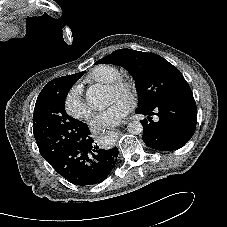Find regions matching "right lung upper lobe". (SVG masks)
I'll use <instances>...</instances> for the list:
<instances>
[{"label": "right lung upper lobe", "instance_id": "cb5924a9", "mask_svg": "<svg viewBox=\"0 0 227 227\" xmlns=\"http://www.w3.org/2000/svg\"><path fill=\"white\" fill-rule=\"evenodd\" d=\"M82 73H83V72H80V73L73 74V75H70V76L74 77V76H78V75H80V74H82ZM60 78H61V77H60ZM57 79H59V78H56V79H54V80H52V81H50V82H53V81H55V80H57ZM47 90H48V83L44 86V88H43L42 91L40 92V94H39L37 100H38V99H41V98L44 96V94L46 93Z\"/></svg>", "mask_w": 227, "mask_h": 227}]
</instances>
